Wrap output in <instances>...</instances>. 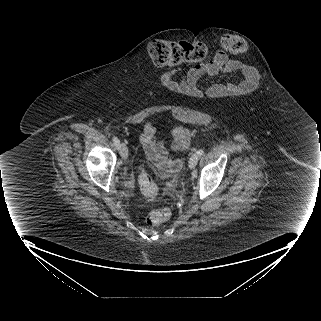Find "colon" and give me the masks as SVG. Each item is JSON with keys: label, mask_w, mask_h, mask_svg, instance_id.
<instances>
[{"label": "colon", "mask_w": 321, "mask_h": 321, "mask_svg": "<svg viewBox=\"0 0 321 321\" xmlns=\"http://www.w3.org/2000/svg\"><path fill=\"white\" fill-rule=\"evenodd\" d=\"M218 44L229 53H243L247 48L245 40L236 35L222 36ZM148 55L157 67H175L206 60L210 55V46L203 42L156 40L148 46ZM139 182L144 195L147 197L156 195V186L147 174H140ZM170 215L169 209H163L150 212L145 220L147 224L157 226L167 220Z\"/></svg>", "instance_id": "obj_1"}]
</instances>
